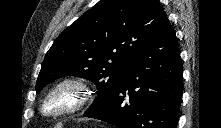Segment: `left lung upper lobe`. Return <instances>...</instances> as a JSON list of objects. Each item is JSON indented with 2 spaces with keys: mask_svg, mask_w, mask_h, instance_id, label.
<instances>
[{
  "mask_svg": "<svg viewBox=\"0 0 221 128\" xmlns=\"http://www.w3.org/2000/svg\"><path fill=\"white\" fill-rule=\"evenodd\" d=\"M168 21L157 0H100L54 41L45 55L36 91L73 75L93 81L102 106L121 84L141 50Z\"/></svg>",
  "mask_w": 221,
  "mask_h": 128,
  "instance_id": "left-lung-upper-lobe-1",
  "label": "left lung upper lobe"
}]
</instances>
